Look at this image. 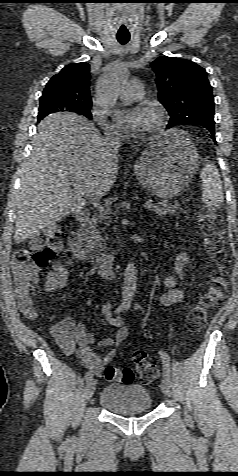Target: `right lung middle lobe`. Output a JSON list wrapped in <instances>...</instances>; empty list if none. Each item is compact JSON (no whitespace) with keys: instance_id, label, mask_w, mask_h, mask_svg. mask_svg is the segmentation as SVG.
Wrapping results in <instances>:
<instances>
[{"instance_id":"obj_1","label":"right lung middle lobe","mask_w":238,"mask_h":476,"mask_svg":"<svg viewBox=\"0 0 238 476\" xmlns=\"http://www.w3.org/2000/svg\"><path fill=\"white\" fill-rule=\"evenodd\" d=\"M61 111H66L63 108H61L59 105L51 102H40L39 105V113H38V120H41L43 117H45L48 114L55 113V112H61ZM78 114L84 115L85 117L91 119L92 114L90 112V107L86 109H82L78 112Z\"/></svg>"}]
</instances>
